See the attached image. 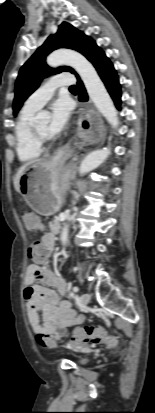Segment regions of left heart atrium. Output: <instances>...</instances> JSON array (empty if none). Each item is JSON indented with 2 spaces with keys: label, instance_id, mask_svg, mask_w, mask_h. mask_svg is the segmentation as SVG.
Masks as SVG:
<instances>
[{
  "label": "left heart atrium",
  "instance_id": "left-heart-atrium-1",
  "mask_svg": "<svg viewBox=\"0 0 155 413\" xmlns=\"http://www.w3.org/2000/svg\"><path fill=\"white\" fill-rule=\"evenodd\" d=\"M71 115V105L66 99H58L51 105V117L47 128L48 137L59 134L67 125Z\"/></svg>",
  "mask_w": 155,
  "mask_h": 413
}]
</instances>
